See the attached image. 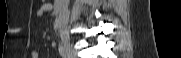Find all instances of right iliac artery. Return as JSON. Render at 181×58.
Listing matches in <instances>:
<instances>
[{"instance_id":"1","label":"right iliac artery","mask_w":181,"mask_h":58,"mask_svg":"<svg viewBox=\"0 0 181 58\" xmlns=\"http://www.w3.org/2000/svg\"><path fill=\"white\" fill-rule=\"evenodd\" d=\"M59 53H60V55H61L63 58H66V57H67L66 50H65V48H64L62 45L59 46Z\"/></svg>"}]
</instances>
